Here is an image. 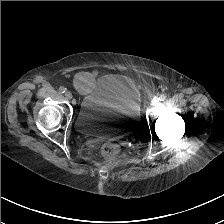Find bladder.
I'll return each mask as SVG.
<instances>
[{
    "label": "bladder",
    "mask_w": 224,
    "mask_h": 224,
    "mask_svg": "<svg viewBox=\"0 0 224 224\" xmlns=\"http://www.w3.org/2000/svg\"><path fill=\"white\" fill-rule=\"evenodd\" d=\"M140 125V105L136 95L114 74L101 76L82 98L75 126L89 137L124 140Z\"/></svg>",
    "instance_id": "obj_1"
}]
</instances>
